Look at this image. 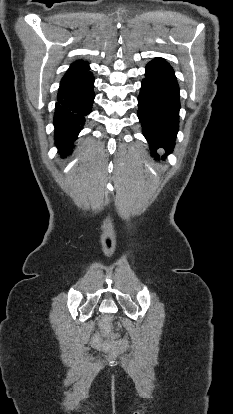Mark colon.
<instances>
[{"mask_svg": "<svg viewBox=\"0 0 233 414\" xmlns=\"http://www.w3.org/2000/svg\"><path fill=\"white\" fill-rule=\"evenodd\" d=\"M102 335H98L94 340V346L98 349L105 351H116L119 349V345L115 343H110L104 340L105 337L115 338L117 334L112 333V318L111 316H106L101 322Z\"/></svg>", "mask_w": 233, "mask_h": 414, "instance_id": "1", "label": "colon"}]
</instances>
